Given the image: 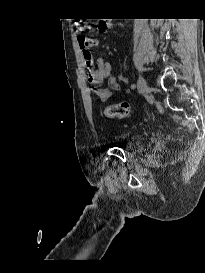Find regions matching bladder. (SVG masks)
Listing matches in <instances>:
<instances>
[{"label":"bladder","mask_w":205,"mask_h":273,"mask_svg":"<svg viewBox=\"0 0 205 273\" xmlns=\"http://www.w3.org/2000/svg\"><path fill=\"white\" fill-rule=\"evenodd\" d=\"M115 141H128L134 146H138L141 144V136L136 131H125L120 133L114 138Z\"/></svg>","instance_id":"31cf9c89"}]
</instances>
